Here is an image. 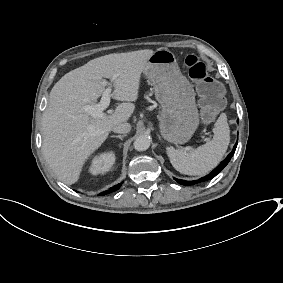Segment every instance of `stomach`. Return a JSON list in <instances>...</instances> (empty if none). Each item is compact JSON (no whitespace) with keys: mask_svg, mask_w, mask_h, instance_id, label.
Here are the masks:
<instances>
[{"mask_svg":"<svg viewBox=\"0 0 283 283\" xmlns=\"http://www.w3.org/2000/svg\"><path fill=\"white\" fill-rule=\"evenodd\" d=\"M144 72L161 104L160 135L176 146L187 143L199 126V112L194 89L180 71L175 55L167 49L155 51Z\"/></svg>","mask_w":283,"mask_h":283,"instance_id":"obj_1","label":"stomach"}]
</instances>
